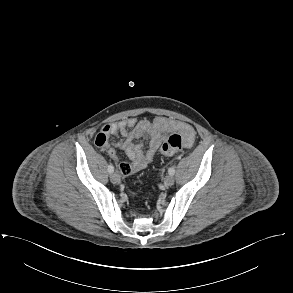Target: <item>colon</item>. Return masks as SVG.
<instances>
[{"instance_id": "obj_1", "label": "colon", "mask_w": 293, "mask_h": 293, "mask_svg": "<svg viewBox=\"0 0 293 293\" xmlns=\"http://www.w3.org/2000/svg\"><path fill=\"white\" fill-rule=\"evenodd\" d=\"M185 150L184 139L180 134H173L161 145L160 152L163 155L171 156L180 154Z\"/></svg>"}]
</instances>
